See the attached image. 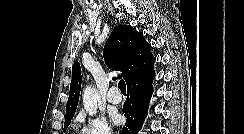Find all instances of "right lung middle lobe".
I'll return each mask as SVG.
<instances>
[{"label":"right lung middle lobe","instance_id":"dd1d6c3e","mask_svg":"<svg viewBox=\"0 0 244 134\" xmlns=\"http://www.w3.org/2000/svg\"><path fill=\"white\" fill-rule=\"evenodd\" d=\"M72 118H73V116L65 117L64 132L66 131L67 127L69 126Z\"/></svg>","mask_w":244,"mask_h":134}]
</instances>
